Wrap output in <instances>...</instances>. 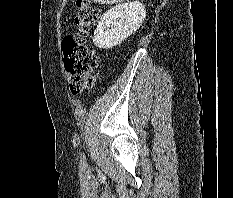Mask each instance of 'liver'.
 Instances as JSON below:
<instances>
[{"mask_svg": "<svg viewBox=\"0 0 233 198\" xmlns=\"http://www.w3.org/2000/svg\"><path fill=\"white\" fill-rule=\"evenodd\" d=\"M95 3L102 4V5H107V4H118V3H123L128 0H92Z\"/></svg>", "mask_w": 233, "mask_h": 198, "instance_id": "obj_1", "label": "liver"}]
</instances>
